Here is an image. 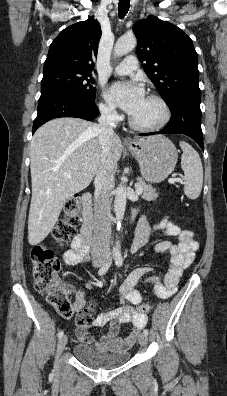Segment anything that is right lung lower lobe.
<instances>
[{
  "mask_svg": "<svg viewBox=\"0 0 227 396\" xmlns=\"http://www.w3.org/2000/svg\"><path fill=\"white\" fill-rule=\"evenodd\" d=\"M99 111L95 102H89L69 94L54 93L41 96L38 102V113L34 120V133L45 122L59 117H77L93 120Z\"/></svg>",
  "mask_w": 227,
  "mask_h": 396,
  "instance_id": "98d812e1",
  "label": "right lung lower lobe"
}]
</instances>
